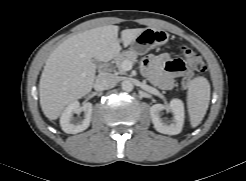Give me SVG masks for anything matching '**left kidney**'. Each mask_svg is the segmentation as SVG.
<instances>
[{"label": "left kidney", "instance_id": "5707ae66", "mask_svg": "<svg viewBox=\"0 0 246 181\" xmlns=\"http://www.w3.org/2000/svg\"><path fill=\"white\" fill-rule=\"evenodd\" d=\"M165 109L173 114V120L171 122L162 118V111ZM150 116L154 128L158 132L167 135L179 134L184 124V104L180 99H172L168 108L163 104H155L150 108Z\"/></svg>", "mask_w": 246, "mask_h": 181}]
</instances>
